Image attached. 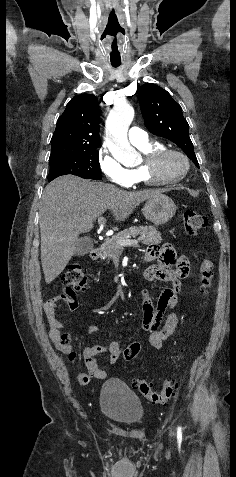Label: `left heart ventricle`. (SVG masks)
Wrapping results in <instances>:
<instances>
[{"instance_id": "1", "label": "left heart ventricle", "mask_w": 236, "mask_h": 477, "mask_svg": "<svg viewBox=\"0 0 236 477\" xmlns=\"http://www.w3.org/2000/svg\"><path fill=\"white\" fill-rule=\"evenodd\" d=\"M183 169V161L176 156H170L164 160L161 168V174L165 177L176 176L180 174Z\"/></svg>"}]
</instances>
